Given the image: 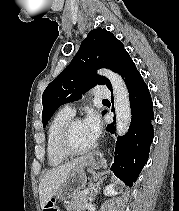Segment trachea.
<instances>
[{"mask_svg": "<svg viewBox=\"0 0 179 211\" xmlns=\"http://www.w3.org/2000/svg\"><path fill=\"white\" fill-rule=\"evenodd\" d=\"M108 100H103V102H107Z\"/></svg>", "mask_w": 179, "mask_h": 211, "instance_id": "trachea-1", "label": "trachea"}]
</instances>
